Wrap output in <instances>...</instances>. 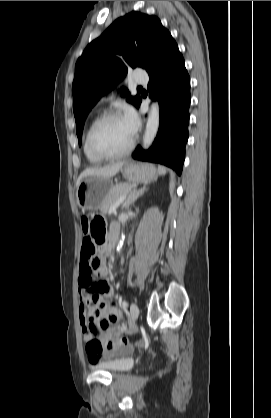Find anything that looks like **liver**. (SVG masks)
I'll list each match as a JSON object with an SVG mask.
<instances>
[{
  "mask_svg": "<svg viewBox=\"0 0 271 418\" xmlns=\"http://www.w3.org/2000/svg\"><path fill=\"white\" fill-rule=\"evenodd\" d=\"M123 165H124V162H117L115 164L107 165L102 168H96V167L87 168L78 177L76 186L78 187L82 179L89 177V176H100V177H105V178H111L119 172V170L122 168Z\"/></svg>",
  "mask_w": 271,
  "mask_h": 418,
  "instance_id": "1",
  "label": "liver"
}]
</instances>
